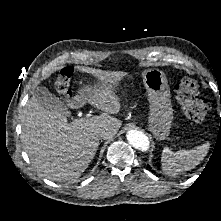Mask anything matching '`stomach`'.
<instances>
[{"instance_id":"0dacf381","label":"stomach","mask_w":221,"mask_h":221,"mask_svg":"<svg viewBox=\"0 0 221 221\" xmlns=\"http://www.w3.org/2000/svg\"><path fill=\"white\" fill-rule=\"evenodd\" d=\"M126 77L133 79L134 74ZM143 83L149 97L148 129L158 140H165L170 133L173 109L170 102V90L165 74L158 69H148L142 74Z\"/></svg>"}]
</instances>
